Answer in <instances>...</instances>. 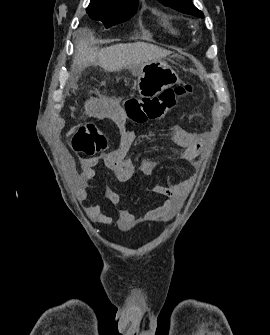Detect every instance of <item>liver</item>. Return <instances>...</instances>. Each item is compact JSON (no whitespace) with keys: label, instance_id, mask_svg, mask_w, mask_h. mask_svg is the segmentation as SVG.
Instances as JSON below:
<instances>
[{"label":"liver","instance_id":"obj_1","mask_svg":"<svg viewBox=\"0 0 270 335\" xmlns=\"http://www.w3.org/2000/svg\"><path fill=\"white\" fill-rule=\"evenodd\" d=\"M171 52L146 44V42H135V44H116L110 48H103L98 52L93 48L88 40H78L76 44L73 68L81 70L82 66H87L91 62H98L99 66L106 72H118L123 68H129L134 74L140 72L146 62H157L159 58L169 56Z\"/></svg>","mask_w":270,"mask_h":335}]
</instances>
